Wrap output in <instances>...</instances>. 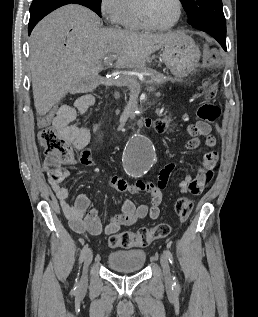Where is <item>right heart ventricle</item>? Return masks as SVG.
Instances as JSON below:
<instances>
[{
	"label": "right heart ventricle",
	"mask_w": 258,
	"mask_h": 317,
	"mask_svg": "<svg viewBox=\"0 0 258 317\" xmlns=\"http://www.w3.org/2000/svg\"><path fill=\"white\" fill-rule=\"evenodd\" d=\"M142 0H123L122 26L129 30H142L138 21V8Z\"/></svg>",
	"instance_id": "right-heart-ventricle-1"
}]
</instances>
